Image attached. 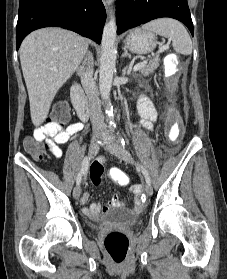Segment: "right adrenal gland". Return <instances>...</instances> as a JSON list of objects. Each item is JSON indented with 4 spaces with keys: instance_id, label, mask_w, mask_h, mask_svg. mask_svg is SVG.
Listing matches in <instances>:
<instances>
[{
    "instance_id": "1",
    "label": "right adrenal gland",
    "mask_w": 227,
    "mask_h": 279,
    "mask_svg": "<svg viewBox=\"0 0 227 279\" xmlns=\"http://www.w3.org/2000/svg\"><path fill=\"white\" fill-rule=\"evenodd\" d=\"M92 63H93V56H92V53L88 50L87 53H86V57H85L84 61L81 63V65H79L77 67V74L79 76H81V74L85 70V68L88 65H91Z\"/></svg>"
}]
</instances>
